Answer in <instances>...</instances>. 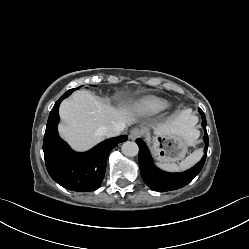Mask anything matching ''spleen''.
<instances>
[{
  "label": "spleen",
  "mask_w": 249,
  "mask_h": 249,
  "mask_svg": "<svg viewBox=\"0 0 249 249\" xmlns=\"http://www.w3.org/2000/svg\"><path fill=\"white\" fill-rule=\"evenodd\" d=\"M203 152L201 149H197L194 152H192L190 155H188L184 160H182L179 165L175 163H169V162H157V166L162 168L163 170L169 171V172H176L180 170H186L195 165L202 157Z\"/></svg>",
  "instance_id": "1"
}]
</instances>
